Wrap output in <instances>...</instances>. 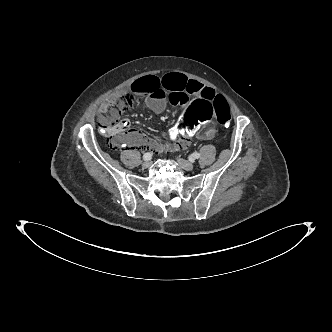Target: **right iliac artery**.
Here are the masks:
<instances>
[{
	"mask_svg": "<svg viewBox=\"0 0 332 332\" xmlns=\"http://www.w3.org/2000/svg\"><path fill=\"white\" fill-rule=\"evenodd\" d=\"M151 158H152V154H151L150 152H147V153H145V154L143 155V159H144L145 161H147V160H151Z\"/></svg>",
	"mask_w": 332,
	"mask_h": 332,
	"instance_id": "82829eb1",
	"label": "right iliac artery"
}]
</instances>
